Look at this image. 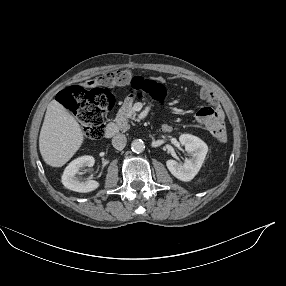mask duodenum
Wrapping results in <instances>:
<instances>
[{"label":"duodenum","mask_w":286,"mask_h":286,"mask_svg":"<svg viewBox=\"0 0 286 286\" xmlns=\"http://www.w3.org/2000/svg\"><path fill=\"white\" fill-rule=\"evenodd\" d=\"M119 132V125L117 123H109L105 130H104V136L106 138H112Z\"/></svg>","instance_id":"obj_1"}]
</instances>
